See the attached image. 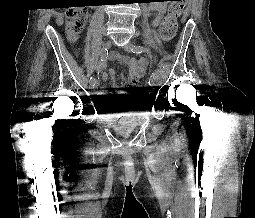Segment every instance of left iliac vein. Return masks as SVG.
Returning <instances> with one entry per match:
<instances>
[{
  "instance_id": "left-iliac-vein-1",
  "label": "left iliac vein",
  "mask_w": 255,
  "mask_h": 218,
  "mask_svg": "<svg viewBox=\"0 0 255 218\" xmlns=\"http://www.w3.org/2000/svg\"><path fill=\"white\" fill-rule=\"evenodd\" d=\"M133 48H134V44H132V43H128V44L125 45V50L128 51V52H132ZM154 85L155 84L150 85V86H154Z\"/></svg>"
}]
</instances>
